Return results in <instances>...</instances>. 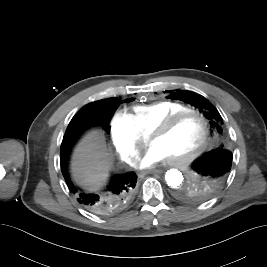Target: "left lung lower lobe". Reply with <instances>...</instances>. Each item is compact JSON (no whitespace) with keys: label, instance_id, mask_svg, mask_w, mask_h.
Returning a JSON list of instances; mask_svg holds the SVG:
<instances>
[{"label":"left lung lower lobe","instance_id":"1","mask_svg":"<svg viewBox=\"0 0 267 267\" xmlns=\"http://www.w3.org/2000/svg\"><path fill=\"white\" fill-rule=\"evenodd\" d=\"M235 173V160L226 141H219L215 149L200 157L191 167L193 182L184 189L188 200H206L222 189Z\"/></svg>","mask_w":267,"mask_h":267}]
</instances>
